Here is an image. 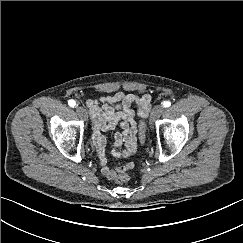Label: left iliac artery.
Instances as JSON below:
<instances>
[{
  "label": "left iliac artery",
  "mask_w": 243,
  "mask_h": 243,
  "mask_svg": "<svg viewBox=\"0 0 243 243\" xmlns=\"http://www.w3.org/2000/svg\"><path fill=\"white\" fill-rule=\"evenodd\" d=\"M170 105H171V102L170 101H164V103H163V106L165 108L169 107Z\"/></svg>",
  "instance_id": "obj_1"
}]
</instances>
